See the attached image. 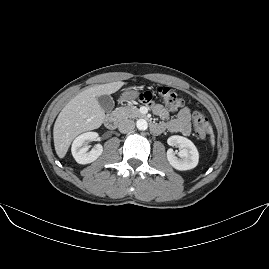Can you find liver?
Returning a JSON list of instances; mask_svg holds the SVG:
<instances>
[{
  "instance_id": "6515ba94",
  "label": "liver",
  "mask_w": 269,
  "mask_h": 269,
  "mask_svg": "<svg viewBox=\"0 0 269 269\" xmlns=\"http://www.w3.org/2000/svg\"><path fill=\"white\" fill-rule=\"evenodd\" d=\"M123 82L117 81L90 87L75 96L60 112L54 126V142L59 157H64L72 140L80 133L98 128L105 113L97 96L117 91Z\"/></svg>"
}]
</instances>
